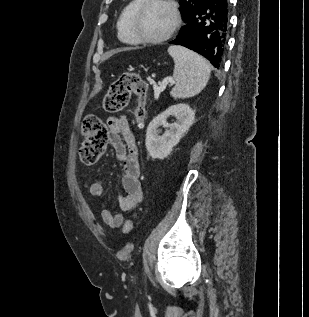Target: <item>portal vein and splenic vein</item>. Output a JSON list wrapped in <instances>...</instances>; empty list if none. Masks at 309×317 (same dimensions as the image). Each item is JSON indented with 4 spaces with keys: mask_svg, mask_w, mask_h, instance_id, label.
Returning a JSON list of instances; mask_svg holds the SVG:
<instances>
[{
    "mask_svg": "<svg viewBox=\"0 0 309 317\" xmlns=\"http://www.w3.org/2000/svg\"><path fill=\"white\" fill-rule=\"evenodd\" d=\"M168 83L173 84L174 81L172 79H164L160 87H158L155 83L153 85L155 92H160L162 89H164Z\"/></svg>",
    "mask_w": 309,
    "mask_h": 317,
    "instance_id": "portal-vein-and-splenic-vein-1",
    "label": "portal vein and splenic vein"
}]
</instances>
